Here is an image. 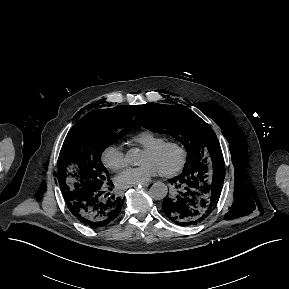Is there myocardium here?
<instances>
[{
    "label": "myocardium",
    "mask_w": 289,
    "mask_h": 289,
    "mask_svg": "<svg viewBox=\"0 0 289 289\" xmlns=\"http://www.w3.org/2000/svg\"><path fill=\"white\" fill-rule=\"evenodd\" d=\"M169 147H173L178 150L180 154V159H179L178 164L173 169L160 172V174L164 177L176 176L184 169L186 162H187V158H188V153H187L185 146L176 140H165L155 146L145 149V151L148 153L159 154L160 152H162L163 150Z\"/></svg>",
    "instance_id": "myocardium-1"
}]
</instances>
